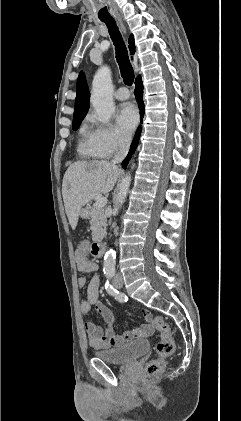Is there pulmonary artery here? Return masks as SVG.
I'll return each mask as SVG.
<instances>
[{
	"mask_svg": "<svg viewBox=\"0 0 241 421\" xmlns=\"http://www.w3.org/2000/svg\"><path fill=\"white\" fill-rule=\"evenodd\" d=\"M130 97V93L128 91L127 88L125 87H120L116 92H115V98L118 100H127Z\"/></svg>",
	"mask_w": 241,
	"mask_h": 421,
	"instance_id": "pulmonary-artery-1",
	"label": "pulmonary artery"
}]
</instances>
